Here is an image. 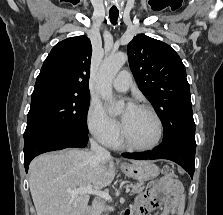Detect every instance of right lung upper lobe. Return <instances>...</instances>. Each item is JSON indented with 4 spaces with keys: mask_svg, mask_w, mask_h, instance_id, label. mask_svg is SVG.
Masks as SVG:
<instances>
[{
    "mask_svg": "<svg viewBox=\"0 0 223 215\" xmlns=\"http://www.w3.org/2000/svg\"><path fill=\"white\" fill-rule=\"evenodd\" d=\"M92 46L86 36L65 39L56 44L43 63L33 94L53 92L89 96Z\"/></svg>",
    "mask_w": 223,
    "mask_h": 215,
    "instance_id": "obj_1",
    "label": "right lung upper lobe"
}]
</instances>
